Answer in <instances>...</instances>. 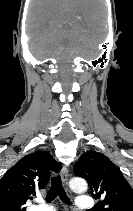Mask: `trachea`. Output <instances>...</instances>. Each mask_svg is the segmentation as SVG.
<instances>
[{
  "label": "trachea",
  "mask_w": 133,
  "mask_h": 211,
  "mask_svg": "<svg viewBox=\"0 0 133 211\" xmlns=\"http://www.w3.org/2000/svg\"><path fill=\"white\" fill-rule=\"evenodd\" d=\"M57 196L66 204H70V199L66 195L64 188L62 186V181L60 176L52 177L51 188L46 196V201L51 202Z\"/></svg>",
  "instance_id": "obj_1"
}]
</instances>
